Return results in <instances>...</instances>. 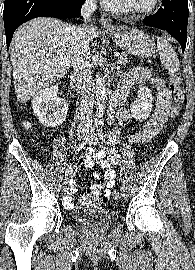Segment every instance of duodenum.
I'll return each mask as SVG.
<instances>
[{"label":"duodenum","mask_w":195,"mask_h":270,"mask_svg":"<svg viewBox=\"0 0 195 270\" xmlns=\"http://www.w3.org/2000/svg\"><path fill=\"white\" fill-rule=\"evenodd\" d=\"M72 80H73V83H74L75 88H76V89H80V88H81V83H80V81L78 80V78H77L76 76H73ZM109 88H110V90H111L112 92L115 91L116 83H115V81L112 80V79L109 81ZM115 97H116V94L113 93L112 99L114 100ZM113 100H112V101H113Z\"/></svg>","instance_id":"410a0bca"}]
</instances>
